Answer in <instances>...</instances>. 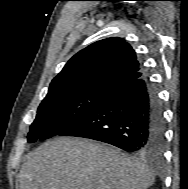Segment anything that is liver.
<instances>
[{"label": "liver", "instance_id": "obj_1", "mask_svg": "<svg viewBox=\"0 0 188 189\" xmlns=\"http://www.w3.org/2000/svg\"><path fill=\"white\" fill-rule=\"evenodd\" d=\"M154 174L119 149L82 139L59 137L29 153L19 189H147Z\"/></svg>", "mask_w": 188, "mask_h": 189}]
</instances>
